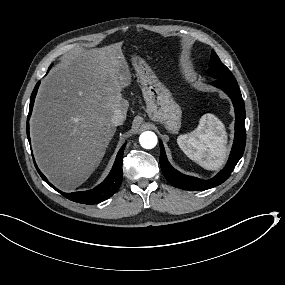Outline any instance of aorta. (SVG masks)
Masks as SVG:
<instances>
[{
	"mask_svg": "<svg viewBox=\"0 0 285 285\" xmlns=\"http://www.w3.org/2000/svg\"><path fill=\"white\" fill-rule=\"evenodd\" d=\"M140 145L144 149H153L157 145V136L151 131L143 132L139 137Z\"/></svg>",
	"mask_w": 285,
	"mask_h": 285,
	"instance_id": "obj_1",
	"label": "aorta"
}]
</instances>
